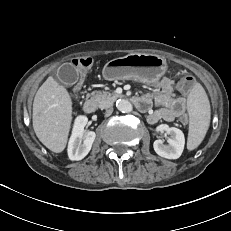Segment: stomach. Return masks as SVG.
Segmentation results:
<instances>
[{"label":"stomach","instance_id":"0dacf381","mask_svg":"<svg viewBox=\"0 0 231 231\" xmlns=\"http://www.w3.org/2000/svg\"><path fill=\"white\" fill-rule=\"evenodd\" d=\"M166 69V60L159 55L133 53L107 62L102 74L109 81L131 79L152 84L165 74Z\"/></svg>","mask_w":231,"mask_h":231}]
</instances>
